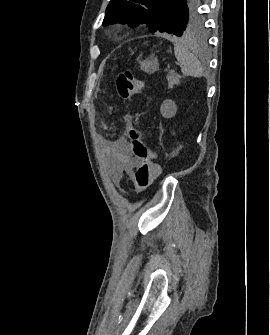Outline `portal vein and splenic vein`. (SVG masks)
Returning a JSON list of instances; mask_svg holds the SVG:
<instances>
[{
  "label": "portal vein and splenic vein",
  "mask_w": 270,
  "mask_h": 335,
  "mask_svg": "<svg viewBox=\"0 0 270 335\" xmlns=\"http://www.w3.org/2000/svg\"><path fill=\"white\" fill-rule=\"evenodd\" d=\"M176 66L180 67V66H181V63H179V62H178V63H176Z\"/></svg>",
  "instance_id": "1"
}]
</instances>
